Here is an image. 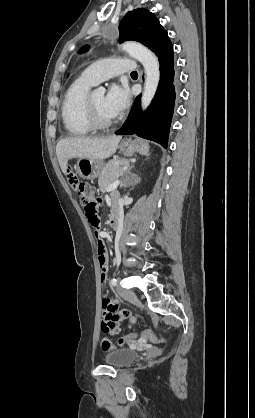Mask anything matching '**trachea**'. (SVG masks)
Returning <instances> with one entry per match:
<instances>
[{"label":"trachea","instance_id":"3493384b","mask_svg":"<svg viewBox=\"0 0 255 418\" xmlns=\"http://www.w3.org/2000/svg\"><path fill=\"white\" fill-rule=\"evenodd\" d=\"M131 74H132V75H137V72H136V71H134V72H132Z\"/></svg>","mask_w":255,"mask_h":418}]
</instances>
